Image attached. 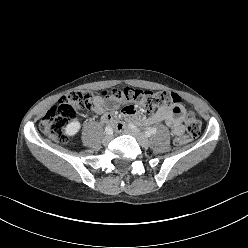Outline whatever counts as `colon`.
Masks as SVG:
<instances>
[{
	"instance_id": "5ec220e1",
	"label": "colon",
	"mask_w": 248,
	"mask_h": 248,
	"mask_svg": "<svg viewBox=\"0 0 248 248\" xmlns=\"http://www.w3.org/2000/svg\"><path fill=\"white\" fill-rule=\"evenodd\" d=\"M114 99L129 103L134 109L141 108L152 111L162 106H182L179 95L170 91H144L138 89H115L110 93ZM95 95L88 90H73L65 94L50 110L42 117L40 130L57 143H65L66 125L75 119L78 110L88 109L92 105ZM185 134L174 138L176 146L188 143L198 136L201 131V123L193 113H188L185 119Z\"/></svg>"
}]
</instances>
